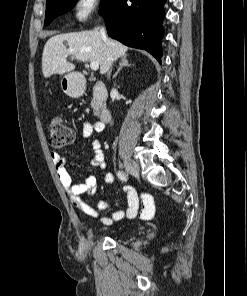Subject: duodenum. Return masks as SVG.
Listing matches in <instances>:
<instances>
[{"mask_svg":"<svg viewBox=\"0 0 247 296\" xmlns=\"http://www.w3.org/2000/svg\"><path fill=\"white\" fill-rule=\"evenodd\" d=\"M92 97L95 105L96 116L102 123H109L112 115L106 105L107 89L102 82H97L94 85Z\"/></svg>","mask_w":247,"mask_h":296,"instance_id":"410a0bca","label":"duodenum"}]
</instances>
